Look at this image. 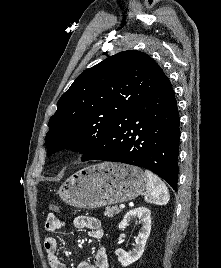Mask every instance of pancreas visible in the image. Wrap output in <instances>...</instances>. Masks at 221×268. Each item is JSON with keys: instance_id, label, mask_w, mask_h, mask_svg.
Listing matches in <instances>:
<instances>
[{"instance_id": "obj_1", "label": "pancreas", "mask_w": 221, "mask_h": 268, "mask_svg": "<svg viewBox=\"0 0 221 268\" xmlns=\"http://www.w3.org/2000/svg\"><path fill=\"white\" fill-rule=\"evenodd\" d=\"M121 212V209L118 208L117 206H113V207H106L105 208V216L107 217H113L114 215H117Z\"/></svg>"}]
</instances>
